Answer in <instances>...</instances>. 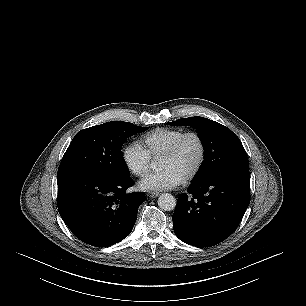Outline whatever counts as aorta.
<instances>
[{
  "label": "aorta",
  "mask_w": 306,
  "mask_h": 306,
  "mask_svg": "<svg viewBox=\"0 0 306 306\" xmlns=\"http://www.w3.org/2000/svg\"><path fill=\"white\" fill-rule=\"evenodd\" d=\"M158 205L164 211H171L176 206V200L171 194L164 193L159 196Z\"/></svg>",
  "instance_id": "aorta-1"
}]
</instances>
